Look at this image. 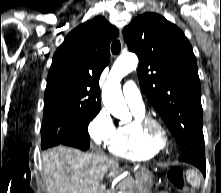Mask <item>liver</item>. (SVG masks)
<instances>
[{
	"mask_svg": "<svg viewBox=\"0 0 221 193\" xmlns=\"http://www.w3.org/2000/svg\"><path fill=\"white\" fill-rule=\"evenodd\" d=\"M42 166L47 193H103L101 180L118 170L117 160L101 150L82 152L62 145L42 153Z\"/></svg>",
	"mask_w": 221,
	"mask_h": 193,
	"instance_id": "obj_1",
	"label": "liver"
}]
</instances>
